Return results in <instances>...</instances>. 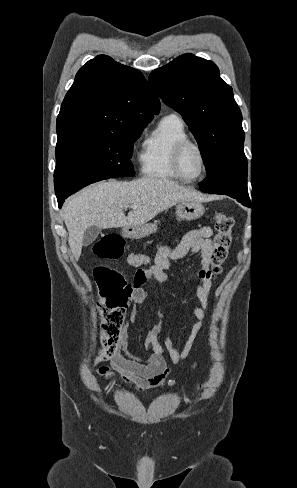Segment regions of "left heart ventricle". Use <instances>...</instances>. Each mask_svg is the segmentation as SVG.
Wrapping results in <instances>:
<instances>
[{"instance_id":"left-heart-ventricle-1","label":"left heart ventricle","mask_w":297,"mask_h":488,"mask_svg":"<svg viewBox=\"0 0 297 488\" xmlns=\"http://www.w3.org/2000/svg\"><path fill=\"white\" fill-rule=\"evenodd\" d=\"M180 167L187 177H195L202 168L201 157L196 148L187 147L180 159Z\"/></svg>"}]
</instances>
